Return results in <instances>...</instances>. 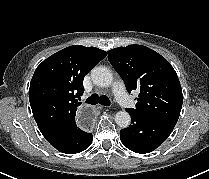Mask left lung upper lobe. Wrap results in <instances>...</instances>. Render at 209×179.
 I'll return each mask as SVG.
<instances>
[{"label":"left lung upper lobe","instance_id":"obj_1","mask_svg":"<svg viewBox=\"0 0 209 179\" xmlns=\"http://www.w3.org/2000/svg\"><path fill=\"white\" fill-rule=\"evenodd\" d=\"M107 53L128 92L140 91L136 108L129 110L176 124L183 94L172 65L160 54L142 45L118 47Z\"/></svg>","mask_w":209,"mask_h":179}]
</instances>
